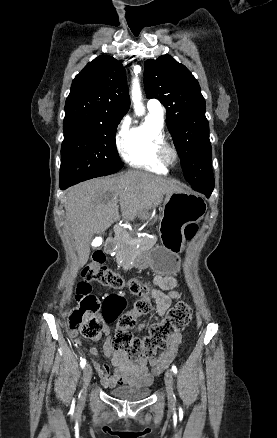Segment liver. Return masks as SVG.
<instances>
[{"label":"liver","mask_w":277,"mask_h":438,"mask_svg":"<svg viewBox=\"0 0 277 438\" xmlns=\"http://www.w3.org/2000/svg\"><path fill=\"white\" fill-rule=\"evenodd\" d=\"M173 192L176 190L171 182L139 170H128L124 176L111 180H88L69 188L65 210L80 268L89 260V244L94 234H104L116 222L117 204L124 220L133 222L142 210L157 208L163 202V194Z\"/></svg>","instance_id":"liver-1"}]
</instances>
